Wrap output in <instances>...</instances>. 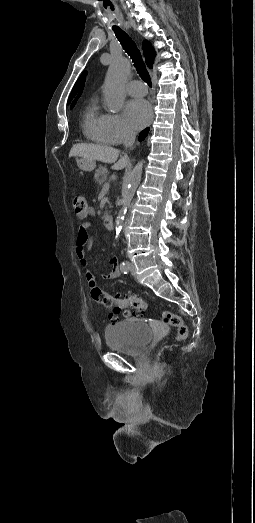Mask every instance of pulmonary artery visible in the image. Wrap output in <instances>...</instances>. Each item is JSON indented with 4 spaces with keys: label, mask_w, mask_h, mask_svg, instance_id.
<instances>
[{
    "label": "pulmonary artery",
    "mask_w": 255,
    "mask_h": 523,
    "mask_svg": "<svg viewBox=\"0 0 255 523\" xmlns=\"http://www.w3.org/2000/svg\"><path fill=\"white\" fill-rule=\"evenodd\" d=\"M127 91L133 97L143 96L147 93V86L145 83L135 80L128 83Z\"/></svg>",
    "instance_id": "e3ab8cb5"
}]
</instances>
